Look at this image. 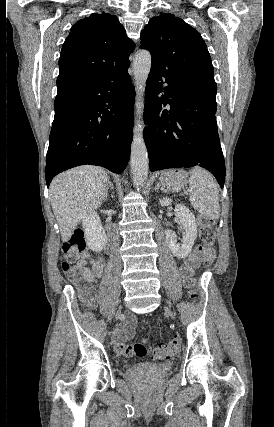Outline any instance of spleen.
Masks as SVG:
<instances>
[{
	"label": "spleen",
	"mask_w": 274,
	"mask_h": 427,
	"mask_svg": "<svg viewBox=\"0 0 274 427\" xmlns=\"http://www.w3.org/2000/svg\"><path fill=\"white\" fill-rule=\"evenodd\" d=\"M189 174V200L194 210L206 215L207 219H219L218 190L212 174L199 166H195Z\"/></svg>",
	"instance_id": "3e777b00"
}]
</instances>
